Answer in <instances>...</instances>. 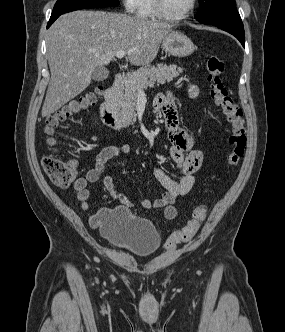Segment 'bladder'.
Segmentation results:
<instances>
[{
    "label": "bladder",
    "instance_id": "bladder-1",
    "mask_svg": "<svg viewBox=\"0 0 285 332\" xmlns=\"http://www.w3.org/2000/svg\"><path fill=\"white\" fill-rule=\"evenodd\" d=\"M99 230L112 246L138 258L154 254L162 245V233L156 224L122 206L105 213Z\"/></svg>",
    "mask_w": 285,
    "mask_h": 332
}]
</instances>
